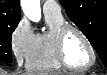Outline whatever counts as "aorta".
<instances>
[{"label": "aorta", "mask_w": 107, "mask_h": 75, "mask_svg": "<svg viewBox=\"0 0 107 75\" xmlns=\"http://www.w3.org/2000/svg\"><path fill=\"white\" fill-rule=\"evenodd\" d=\"M22 10L25 16L33 22L41 19L40 0H22Z\"/></svg>", "instance_id": "1"}]
</instances>
